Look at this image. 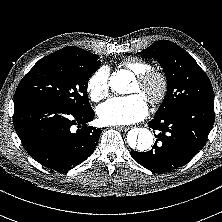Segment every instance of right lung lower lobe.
<instances>
[{"instance_id": "98d812e1", "label": "right lung lower lobe", "mask_w": 222, "mask_h": 222, "mask_svg": "<svg viewBox=\"0 0 222 222\" xmlns=\"http://www.w3.org/2000/svg\"><path fill=\"white\" fill-rule=\"evenodd\" d=\"M94 115L92 108L78 111L40 98L14 99L13 123L23 147L56 171H68L92 154L101 133L86 125Z\"/></svg>"}]
</instances>
